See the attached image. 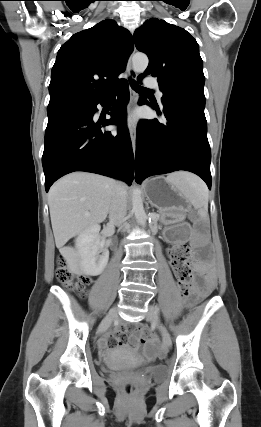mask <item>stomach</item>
Here are the masks:
<instances>
[{
    "instance_id": "stomach-1",
    "label": "stomach",
    "mask_w": 261,
    "mask_h": 427,
    "mask_svg": "<svg viewBox=\"0 0 261 427\" xmlns=\"http://www.w3.org/2000/svg\"><path fill=\"white\" fill-rule=\"evenodd\" d=\"M144 189L149 202L164 218L181 221L189 210V201L178 186L168 178L155 177L147 180Z\"/></svg>"
}]
</instances>
